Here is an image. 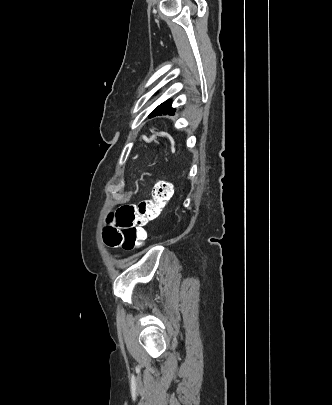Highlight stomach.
<instances>
[{
  "label": "stomach",
  "mask_w": 332,
  "mask_h": 405,
  "mask_svg": "<svg viewBox=\"0 0 332 405\" xmlns=\"http://www.w3.org/2000/svg\"><path fill=\"white\" fill-rule=\"evenodd\" d=\"M158 134L157 133H153L152 136H150L149 138H146V141L148 143L154 142L156 144H159L158 140H157Z\"/></svg>",
  "instance_id": "1"
}]
</instances>
